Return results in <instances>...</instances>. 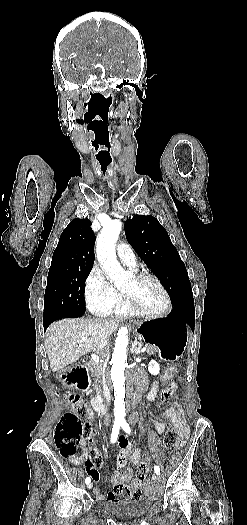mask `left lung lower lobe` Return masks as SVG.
I'll return each instance as SVG.
<instances>
[{
	"mask_svg": "<svg viewBox=\"0 0 247 525\" xmlns=\"http://www.w3.org/2000/svg\"><path fill=\"white\" fill-rule=\"evenodd\" d=\"M167 320L175 321L179 323H187L192 329L195 324V309L194 304H186L174 307L173 311L169 314Z\"/></svg>",
	"mask_w": 247,
	"mask_h": 525,
	"instance_id": "obj_1",
	"label": "left lung lower lobe"
}]
</instances>
